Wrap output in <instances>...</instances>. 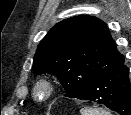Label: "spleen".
<instances>
[{
	"instance_id": "3e777b00",
	"label": "spleen",
	"mask_w": 131,
	"mask_h": 115,
	"mask_svg": "<svg viewBox=\"0 0 131 115\" xmlns=\"http://www.w3.org/2000/svg\"><path fill=\"white\" fill-rule=\"evenodd\" d=\"M80 113L81 115H111L110 112L106 110L91 108H82Z\"/></svg>"
}]
</instances>
